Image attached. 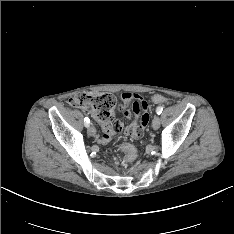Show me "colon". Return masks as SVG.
Segmentation results:
<instances>
[{"label":"colon","instance_id":"colon-1","mask_svg":"<svg viewBox=\"0 0 234 234\" xmlns=\"http://www.w3.org/2000/svg\"><path fill=\"white\" fill-rule=\"evenodd\" d=\"M149 100L152 103H165L167 99L161 95L150 94ZM68 104L75 108L85 109L91 111L96 119L101 122H109L113 124L115 118L113 116V110L115 107V99L109 93H82L72 97ZM120 120V119H119ZM122 122V121H121ZM123 124V123H122ZM139 124V123H138ZM123 126V125H122ZM137 126V124H136ZM135 126V127H136ZM110 154L116 152L126 153L125 160L128 163H132L137 156V152L133 146L129 143H119L118 147L114 150L110 148L105 149Z\"/></svg>","mask_w":234,"mask_h":234}]
</instances>
